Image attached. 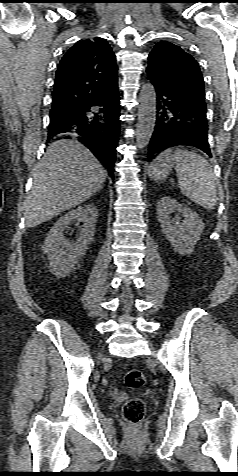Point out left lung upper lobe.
I'll list each match as a JSON object with an SVG mask.
<instances>
[{
  "mask_svg": "<svg viewBox=\"0 0 238 476\" xmlns=\"http://www.w3.org/2000/svg\"><path fill=\"white\" fill-rule=\"evenodd\" d=\"M148 76L185 100L205 104L204 81L199 64L179 46L167 41L149 54Z\"/></svg>",
  "mask_w": 238,
  "mask_h": 476,
  "instance_id": "obj_1",
  "label": "left lung upper lobe"
}]
</instances>
